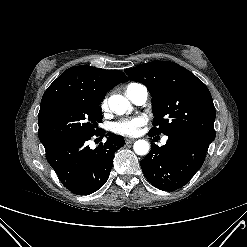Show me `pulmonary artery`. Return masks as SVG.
Returning a JSON list of instances; mask_svg holds the SVG:
<instances>
[{"mask_svg":"<svg viewBox=\"0 0 247 247\" xmlns=\"http://www.w3.org/2000/svg\"><path fill=\"white\" fill-rule=\"evenodd\" d=\"M127 97L135 104L141 105L146 102L148 98V90L142 84L132 83L126 89ZM167 138L164 137L163 142H166Z\"/></svg>","mask_w":247,"mask_h":247,"instance_id":"pulmonary-artery-1","label":"pulmonary artery"}]
</instances>
